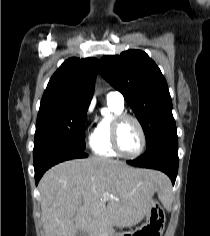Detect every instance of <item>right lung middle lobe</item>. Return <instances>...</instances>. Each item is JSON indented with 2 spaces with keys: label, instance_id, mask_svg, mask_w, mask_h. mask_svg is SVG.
<instances>
[{
  "label": "right lung middle lobe",
  "instance_id": "right-lung-middle-lobe-1",
  "mask_svg": "<svg viewBox=\"0 0 210 236\" xmlns=\"http://www.w3.org/2000/svg\"><path fill=\"white\" fill-rule=\"evenodd\" d=\"M87 107L72 102H48L40 105L34 147L57 143L85 150Z\"/></svg>",
  "mask_w": 210,
  "mask_h": 236
}]
</instances>
